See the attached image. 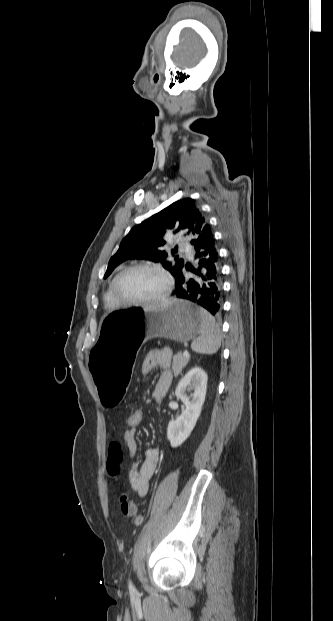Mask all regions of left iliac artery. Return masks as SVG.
Returning a JSON list of instances; mask_svg holds the SVG:
<instances>
[{
    "instance_id": "1",
    "label": "left iliac artery",
    "mask_w": 333,
    "mask_h": 621,
    "mask_svg": "<svg viewBox=\"0 0 333 621\" xmlns=\"http://www.w3.org/2000/svg\"><path fill=\"white\" fill-rule=\"evenodd\" d=\"M129 589L130 590H134L135 589L131 581H129Z\"/></svg>"
}]
</instances>
